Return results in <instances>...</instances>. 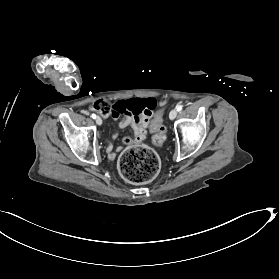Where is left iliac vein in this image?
<instances>
[{
    "mask_svg": "<svg viewBox=\"0 0 279 279\" xmlns=\"http://www.w3.org/2000/svg\"><path fill=\"white\" fill-rule=\"evenodd\" d=\"M176 116H177V110H176V109H172V110L170 111V113H169V118H170L171 120H174V119L176 118Z\"/></svg>",
    "mask_w": 279,
    "mask_h": 279,
    "instance_id": "4c4485c4",
    "label": "left iliac vein"
}]
</instances>
